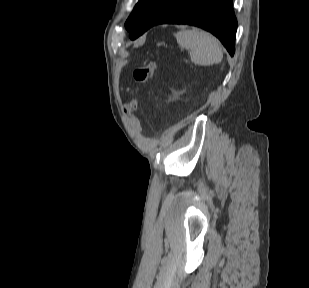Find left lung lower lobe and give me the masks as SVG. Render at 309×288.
Returning <instances> with one entry per match:
<instances>
[{"mask_svg": "<svg viewBox=\"0 0 309 288\" xmlns=\"http://www.w3.org/2000/svg\"><path fill=\"white\" fill-rule=\"evenodd\" d=\"M189 24L214 34L231 56L235 50L237 20L232 0H161L145 20L134 40L157 24Z\"/></svg>", "mask_w": 309, "mask_h": 288, "instance_id": "0a47b994", "label": "left lung lower lobe"}]
</instances>
